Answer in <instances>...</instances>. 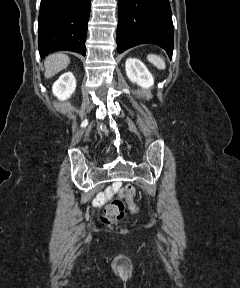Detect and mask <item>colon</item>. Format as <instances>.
<instances>
[{
    "label": "colon",
    "instance_id": "5ec220e1",
    "mask_svg": "<svg viewBox=\"0 0 240 288\" xmlns=\"http://www.w3.org/2000/svg\"><path fill=\"white\" fill-rule=\"evenodd\" d=\"M135 195V188L131 185H127L125 187V197L123 199H115L110 204H108L105 207L101 220L109 224L119 221L125 214L126 206H129L132 211H135L136 207L133 203Z\"/></svg>",
    "mask_w": 240,
    "mask_h": 288
}]
</instances>
